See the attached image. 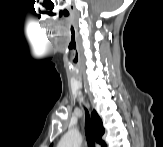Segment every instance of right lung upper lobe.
Instances as JSON below:
<instances>
[{
    "mask_svg": "<svg viewBox=\"0 0 163 147\" xmlns=\"http://www.w3.org/2000/svg\"><path fill=\"white\" fill-rule=\"evenodd\" d=\"M91 119L96 142L102 146H105V142L101 139L102 135L104 134L103 124L95 110L91 114Z\"/></svg>",
    "mask_w": 163,
    "mask_h": 147,
    "instance_id": "1",
    "label": "right lung upper lobe"
}]
</instances>
